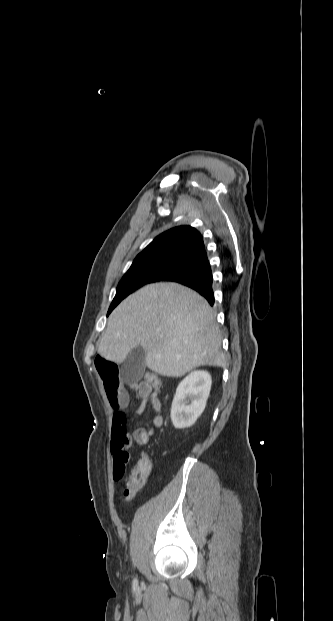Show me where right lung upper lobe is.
<instances>
[{
  "instance_id": "1",
  "label": "right lung upper lobe",
  "mask_w": 333,
  "mask_h": 621,
  "mask_svg": "<svg viewBox=\"0 0 333 621\" xmlns=\"http://www.w3.org/2000/svg\"><path fill=\"white\" fill-rule=\"evenodd\" d=\"M204 246L199 231L191 226H179L157 236L133 262L162 258L187 259Z\"/></svg>"
}]
</instances>
